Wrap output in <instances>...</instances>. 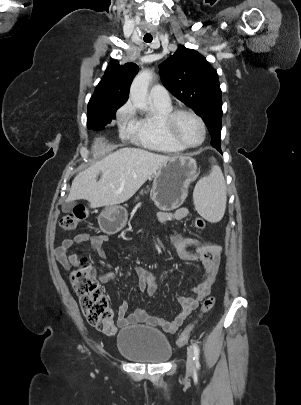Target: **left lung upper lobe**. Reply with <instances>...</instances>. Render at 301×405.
<instances>
[{
    "label": "left lung upper lobe",
    "mask_w": 301,
    "mask_h": 405,
    "mask_svg": "<svg viewBox=\"0 0 301 405\" xmlns=\"http://www.w3.org/2000/svg\"><path fill=\"white\" fill-rule=\"evenodd\" d=\"M159 67L164 86L204 120L211 139L220 143L222 98L216 70L204 56L184 46Z\"/></svg>",
    "instance_id": "left-lung-upper-lobe-1"
}]
</instances>
